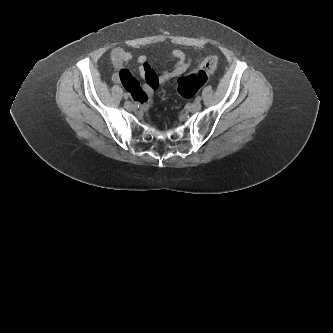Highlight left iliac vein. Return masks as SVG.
<instances>
[{"label": "left iliac vein", "mask_w": 333, "mask_h": 333, "mask_svg": "<svg viewBox=\"0 0 333 333\" xmlns=\"http://www.w3.org/2000/svg\"><path fill=\"white\" fill-rule=\"evenodd\" d=\"M201 109V103L200 102H195L193 104L190 105V111L191 112H197Z\"/></svg>", "instance_id": "left-iliac-vein-1"}]
</instances>
